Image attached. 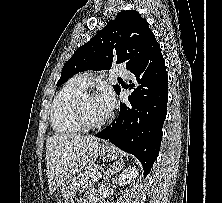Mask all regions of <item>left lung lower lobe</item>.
I'll return each mask as SVG.
<instances>
[{
	"mask_svg": "<svg viewBox=\"0 0 222 203\" xmlns=\"http://www.w3.org/2000/svg\"><path fill=\"white\" fill-rule=\"evenodd\" d=\"M130 71L135 78L129 89L134 91L127 103H120L118 118L95 136L137 157L146 176L160 150L168 100L165 61L152 32Z\"/></svg>",
	"mask_w": 222,
	"mask_h": 203,
	"instance_id": "0a47b994",
	"label": "left lung lower lobe"
}]
</instances>
